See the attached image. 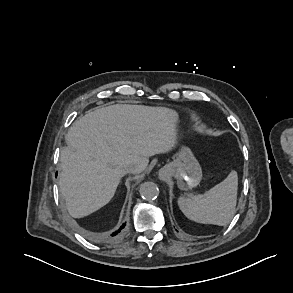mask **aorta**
I'll list each match as a JSON object with an SVG mask.
<instances>
[{"mask_svg": "<svg viewBox=\"0 0 293 293\" xmlns=\"http://www.w3.org/2000/svg\"><path fill=\"white\" fill-rule=\"evenodd\" d=\"M141 197L146 201H152L159 195L158 186L154 182H144L139 187Z\"/></svg>", "mask_w": 293, "mask_h": 293, "instance_id": "1", "label": "aorta"}]
</instances>
